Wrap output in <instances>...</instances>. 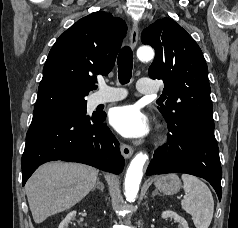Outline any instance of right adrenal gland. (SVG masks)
<instances>
[{
    "instance_id": "1",
    "label": "right adrenal gland",
    "mask_w": 238,
    "mask_h": 228,
    "mask_svg": "<svg viewBox=\"0 0 238 228\" xmlns=\"http://www.w3.org/2000/svg\"><path fill=\"white\" fill-rule=\"evenodd\" d=\"M100 189L102 192L104 191V184L100 181V179H97L96 185L92 188V191Z\"/></svg>"
}]
</instances>
